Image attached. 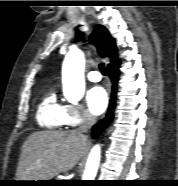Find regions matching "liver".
Wrapping results in <instances>:
<instances>
[{"label": "liver", "mask_w": 178, "mask_h": 186, "mask_svg": "<svg viewBox=\"0 0 178 186\" xmlns=\"http://www.w3.org/2000/svg\"><path fill=\"white\" fill-rule=\"evenodd\" d=\"M88 138L77 130L39 131L24 142L16 171L17 181L50 180L79 162Z\"/></svg>", "instance_id": "6515ba94"}]
</instances>
